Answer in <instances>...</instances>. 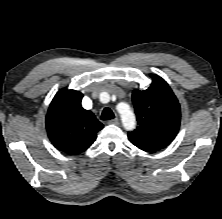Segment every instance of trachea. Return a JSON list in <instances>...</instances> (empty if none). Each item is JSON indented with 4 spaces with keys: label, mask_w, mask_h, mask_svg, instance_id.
Returning <instances> with one entry per match:
<instances>
[{
    "label": "trachea",
    "mask_w": 222,
    "mask_h": 219,
    "mask_svg": "<svg viewBox=\"0 0 222 219\" xmlns=\"http://www.w3.org/2000/svg\"><path fill=\"white\" fill-rule=\"evenodd\" d=\"M114 113L112 112V110L110 108H104L101 114V120H111L113 119Z\"/></svg>",
    "instance_id": "trachea-1"
}]
</instances>
